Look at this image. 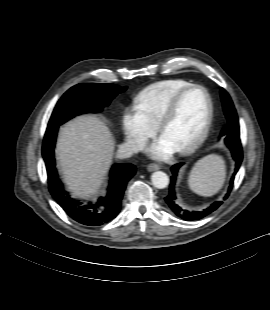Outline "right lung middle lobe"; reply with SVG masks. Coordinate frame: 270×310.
Listing matches in <instances>:
<instances>
[{"label":"right lung middle lobe","instance_id":"right-lung-middle-lobe-1","mask_svg":"<svg viewBox=\"0 0 270 310\" xmlns=\"http://www.w3.org/2000/svg\"><path fill=\"white\" fill-rule=\"evenodd\" d=\"M126 90L115 84L82 83L70 88L57 102L48 125H61L72 117L100 112L119 93Z\"/></svg>","mask_w":270,"mask_h":310}]
</instances>
